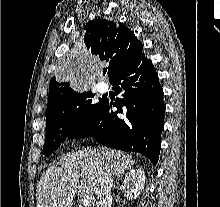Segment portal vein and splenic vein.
Here are the masks:
<instances>
[{
  "label": "portal vein and splenic vein",
  "instance_id": "1",
  "mask_svg": "<svg viewBox=\"0 0 220 207\" xmlns=\"http://www.w3.org/2000/svg\"><path fill=\"white\" fill-rule=\"evenodd\" d=\"M91 196L90 195H84L81 197V201L84 207H88L91 203Z\"/></svg>",
  "mask_w": 220,
  "mask_h": 207
}]
</instances>
